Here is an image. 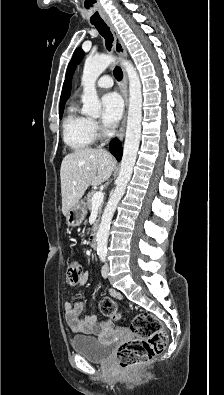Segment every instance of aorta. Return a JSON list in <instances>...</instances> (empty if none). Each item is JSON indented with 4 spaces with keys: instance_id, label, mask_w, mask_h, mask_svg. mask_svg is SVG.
Returning a JSON list of instances; mask_svg holds the SVG:
<instances>
[{
    "instance_id": "1",
    "label": "aorta",
    "mask_w": 224,
    "mask_h": 395,
    "mask_svg": "<svg viewBox=\"0 0 224 395\" xmlns=\"http://www.w3.org/2000/svg\"><path fill=\"white\" fill-rule=\"evenodd\" d=\"M115 60V57L110 55H100L98 57L89 58L86 60L81 81L83 86L82 112L84 114L91 117L99 116L101 104L98 99L95 83L100 74L111 63L115 62ZM122 65L125 67L129 80V107L127 127L123 148V156L120 164V172L116 180V188L106 205L97 232L96 241L97 251L99 253L107 251L111 220L116 210V206L124 195L127 184L131 178L133 167L136 162L141 137L143 102L141 81L135 67L131 62L122 61Z\"/></svg>"
}]
</instances>
